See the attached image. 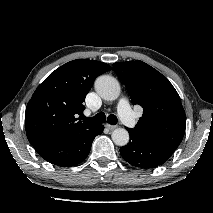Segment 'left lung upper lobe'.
I'll list each match as a JSON object with an SVG mask.
<instances>
[{"mask_svg": "<svg viewBox=\"0 0 213 213\" xmlns=\"http://www.w3.org/2000/svg\"><path fill=\"white\" fill-rule=\"evenodd\" d=\"M113 67L133 104L144 110L131 130L150 143L175 150L186 127L185 111L175 88L165 76L142 61L116 62Z\"/></svg>", "mask_w": 213, "mask_h": 213, "instance_id": "1", "label": "left lung upper lobe"}]
</instances>
